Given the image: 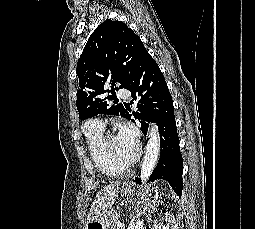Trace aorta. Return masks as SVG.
Instances as JSON below:
<instances>
[{"label": "aorta", "mask_w": 255, "mask_h": 229, "mask_svg": "<svg viewBox=\"0 0 255 229\" xmlns=\"http://www.w3.org/2000/svg\"><path fill=\"white\" fill-rule=\"evenodd\" d=\"M148 138L145 156L141 165V180L143 183H146L151 176L160 154V137L155 125L151 126ZM143 226L144 222L139 218L135 223L134 229H143Z\"/></svg>", "instance_id": "aorta-1"}]
</instances>
